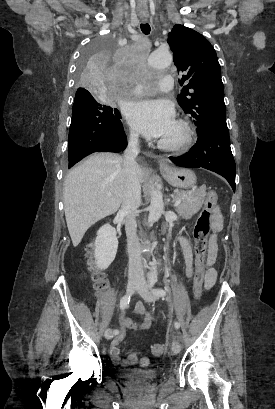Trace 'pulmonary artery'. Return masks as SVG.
<instances>
[{
  "instance_id": "pulmonary-artery-1",
  "label": "pulmonary artery",
  "mask_w": 275,
  "mask_h": 409,
  "mask_svg": "<svg viewBox=\"0 0 275 409\" xmlns=\"http://www.w3.org/2000/svg\"><path fill=\"white\" fill-rule=\"evenodd\" d=\"M158 85L160 88H163V92L165 94H172L174 92V85H175L173 76L169 74L166 75L164 79L159 80ZM145 91H146L145 87L137 86L135 87V90H133V93L138 94L139 96H143Z\"/></svg>"
}]
</instances>
